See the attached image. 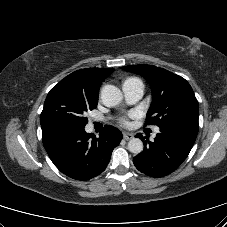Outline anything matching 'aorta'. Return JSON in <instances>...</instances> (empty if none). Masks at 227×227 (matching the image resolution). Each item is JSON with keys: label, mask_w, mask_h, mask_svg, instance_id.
<instances>
[{"label": "aorta", "mask_w": 227, "mask_h": 227, "mask_svg": "<svg viewBox=\"0 0 227 227\" xmlns=\"http://www.w3.org/2000/svg\"><path fill=\"white\" fill-rule=\"evenodd\" d=\"M101 99L105 106L113 107L122 101L123 94L116 86L105 85L101 90ZM128 150L134 154L141 153L143 151V142L139 138H132L128 142Z\"/></svg>", "instance_id": "obj_1"}]
</instances>
